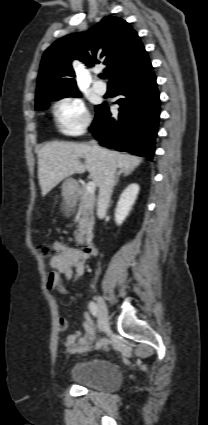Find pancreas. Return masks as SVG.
<instances>
[{
	"mask_svg": "<svg viewBox=\"0 0 208 425\" xmlns=\"http://www.w3.org/2000/svg\"><path fill=\"white\" fill-rule=\"evenodd\" d=\"M95 206L94 195L88 194L86 189H83L80 194V202L78 208V227L75 232L76 245L83 244L85 235L91 233L93 229L94 219L93 210Z\"/></svg>",
	"mask_w": 208,
	"mask_h": 425,
	"instance_id": "cf45deb5",
	"label": "pancreas"
}]
</instances>
